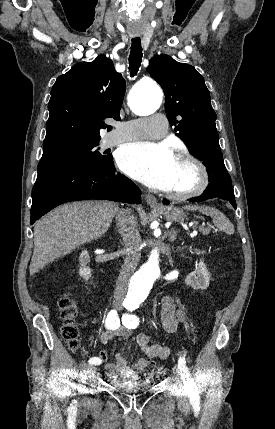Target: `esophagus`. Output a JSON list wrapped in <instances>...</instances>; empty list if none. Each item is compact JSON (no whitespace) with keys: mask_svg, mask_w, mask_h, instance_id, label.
Segmentation results:
<instances>
[{"mask_svg":"<svg viewBox=\"0 0 275 429\" xmlns=\"http://www.w3.org/2000/svg\"><path fill=\"white\" fill-rule=\"evenodd\" d=\"M145 201L150 207H153V208L159 207L156 197L152 194H145Z\"/></svg>","mask_w":275,"mask_h":429,"instance_id":"esophagus-1","label":"esophagus"}]
</instances>
